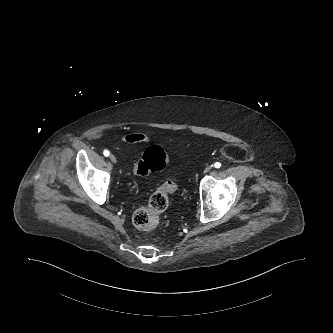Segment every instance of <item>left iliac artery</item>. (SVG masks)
Returning <instances> with one entry per match:
<instances>
[{
	"label": "left iliac artery",
	"instance_id": "left-iliac-artery-1",
	"mask_svg": "<svg viewBox=\"0 0 333 333\" xmlns=\"http://www.w3.org/2000/svg\"><path fill=\"white\" fill-rule=\"evenodd\" d=\"M214 167H215V168H220V167H221V163H220V162H216V163L214 164Z\"/></svg>",
	"mask_w": 333,
	"mask_h": 333
}]
</instances>
